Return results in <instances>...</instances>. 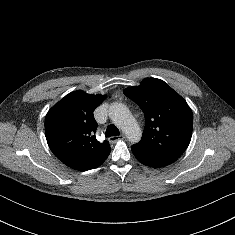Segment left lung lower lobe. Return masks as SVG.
<instances>
[{"instance_id": "0a47b994", "label": "left lung lower lobe", "mask_w": 235, "mask_h": 235, "mask_svg": "<svg viewBox=\"0 0 235 235\" xmlns=\"http://www.w3.org/2000/svg\"><path fill=\"white\" fill-rule=\"evenodd\" d=\"M131 150L140 163L151 167H163L175 162L178 159V157L175 156L146 151L135 145H132Z\"/></svg>"}]
</instances>
